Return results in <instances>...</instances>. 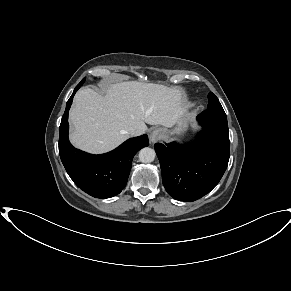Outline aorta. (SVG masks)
<instances>
[{"label": "aorta", "instance_id": "762f6f07", "mask_svg": "<svg viewBox=\"0 0 291 291\" xmlns=\"http://www.w3.org/2000/svg\"><path fill=\"white\" fill-rule=\"evenodd\" d=\"M155 157H156V153L154 149L149 148V147H145L141 149L139 152V159L143 163H151L154 161Z\"/></svg>", "mask_w": 291, "mask_h": 291}]
</instances>
